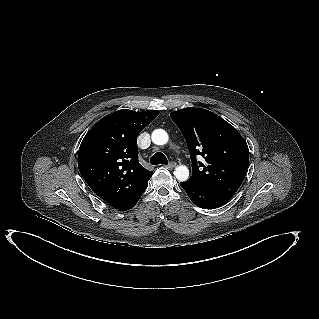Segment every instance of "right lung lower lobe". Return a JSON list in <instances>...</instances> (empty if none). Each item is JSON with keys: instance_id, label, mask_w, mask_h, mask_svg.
Wrapping results in <instances>:
<instances>
[{"instance_id": "right-lung-lower-lobe-1", "label": "right lung lower lobe", "mask_w": 319, "mask_h": 319, "mask_svg": "<svg viewBox=\"0 0 319 319\" xmlns=\"http://www.w3.org/2000/svg\"><path fill=\"white\" fill-rule=\"evenodd\" d=\"M151 175L149 176V178L151 177ZM148 179L144 183L132 189L129 193L121 196L116 201L109 203V205L120 211H126L128 209H131L146 190L148 186Z\"/></svg>"}]
</instances>
